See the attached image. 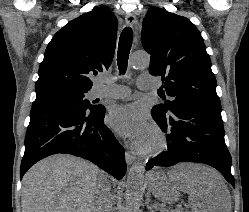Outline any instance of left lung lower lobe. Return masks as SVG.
<instances>
[{
    "label": "left lung lower lobe",
    "mask_w": 249,
    "mask_h": 212,
    "mask_svg": "<svg viewBox=\"0 0 249 212\" xmlns=\"http://www.w3.org/2000/svg\"><path fill=\"white\" fill-rule=\"evenodd\" d=\"M152 117L166 133L167 151L149 160L146 170L196 162L216 168L234 186L231 155L224 140L221 111L181 107L170 114L152 108Z\"/></svg>",
    "instance_id": "obj_1"
}]
</instances>
